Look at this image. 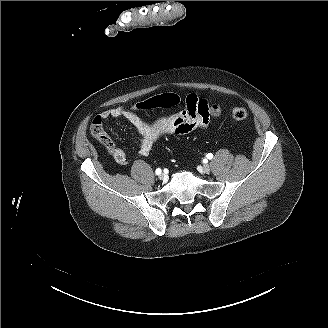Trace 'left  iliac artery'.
<instances>
[{"mask_svg": "<svg viewBox=\"0 0 328 328\" xmlns=\"http://www.w3.org/2000/svg\"><path fill=\"white\" fill-rule=\"evenodd\" d=\"M206 157H207L208 159H212V158H213V154H212V153H208V154L206 155Z\"/></svg>", "mask_w": 328, "mask_h": 328, "instance_id": "left-iliac-artery-1", "label": "left iliac artery"}]
</instances>
